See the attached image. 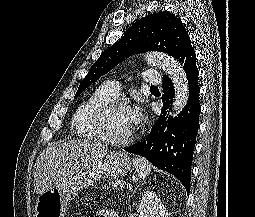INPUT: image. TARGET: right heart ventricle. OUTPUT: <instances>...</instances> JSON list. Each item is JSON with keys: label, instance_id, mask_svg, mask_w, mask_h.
I'll list each match as a JSON object with an SVG mask.
<instances>
[{"label": "right heart ventricle", "instance_id": "e07e8e85", "mask_svg": "<svg viewBox=\"0 0 255 217\" xmlns=\"http://www.w3.org/2000/svg\"><path fill=\"white\" fill-rule=\"evenodd\" d=\"M112 99L114 97L101 86L77 107L71 125L79 138L93 141L103 140L96 126L95 115L105 103Z\"/></svg>", "mask_w": 255, "mask_h": 217}]
</instances>
